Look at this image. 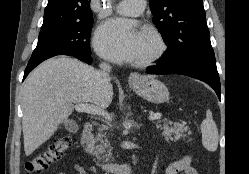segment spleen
<instances>
[{"label": "spleen", "mask_w": 249, "mask_h": 174, "mask_svg": "<svg viewBox=\"0 0 249 174\" xmlns=\"http://www.w3.org/2000/svg\"><path fill=\"white\" fill-rule=\"evenodd\" d=\"M200 129L202 133V144L205 149L212 152L216 151L218 147L219 134L210 110H207L206 118L202 121Z\"/></svg>", "instance_id": "1"}]
</instances>
